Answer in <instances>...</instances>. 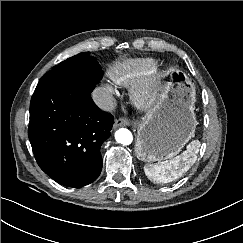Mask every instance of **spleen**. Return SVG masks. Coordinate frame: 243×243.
<instances>
[{"instance_id":"obj_1","label":"spleen","mask_w":243,"mask_h":243,"mask_svg":"<svg viewBox=\"0 0 243 243\" xmlns=\"http://www.w3.org/2000/svg\"><path fill=\"white\" fill-rule=\"evenodd\" d=\"M200 141L193 140L181 155L161 163L144 166L146 176L155 183H169L186 173L197 159Z\"/></svg>"}]
</instances>
